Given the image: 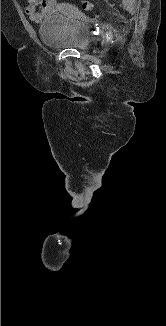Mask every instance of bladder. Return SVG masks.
I'll use <instances>...</instances> for the list:
<instances>
[{
	"label": "bladder",
	"instance_id": "obj_1",
	"mask_svg": "<svg viewBox=\"0 0 166 326\" xmlns=\"http://www.w3.org/2000/svg\"><path fill=\"white\" fill-rule=\"evenodd\" d=\"M39 35L49 48L86 49L90 44V29L79 17L54 14L39 24Z\"/></svg>",
	"mask_w": 166,
	"mask_h": 326
}]
</instances>
